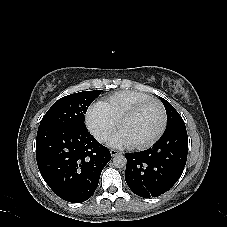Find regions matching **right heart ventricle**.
Listing matches in <instances>:
<instances>
[{
  "instance_id": "right-heart-ventricle-1",
  "label": "right heart ventricle",
  "mask_w": 227,
  "mask_h": 227,
  "mask_svg": "<svg viewBox=\"0 0 227 227\" xmlns=\"http://www.w3.org/2000/svg\"><path fill=\"white\" fill-rule=\"evenodd\" d=\"M148 98L149 95L140 91L122 90L113 93L98 103L102 107L105 114L117 123L119 118L135 104Z\"/></svg>"
}]
</instances>
